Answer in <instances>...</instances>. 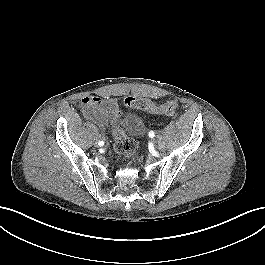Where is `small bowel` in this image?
Returning <instances> with one entry per match:
<instances>
[{
	"label": "small bowel",
	"mask_w": 265,
	"mask_h": 265,
	"mask_svg": "<svg viewBox=\"0 0 265 265\" xmlns=\"http://www.w3.org/2000/svg\"><path fill=\"white\" fill-rule=\"evenodd\" d=\"M117 104L115 99H103L99 96H85L81 99V110L86 117L99 126H103L107 113Z\"/></svg>",
	"instance_id": "1"
}]
</instances>
